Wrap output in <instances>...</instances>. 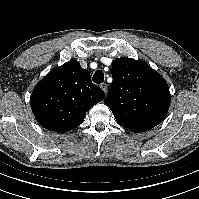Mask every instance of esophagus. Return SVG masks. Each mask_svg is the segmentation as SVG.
Masks as SVG:
<instances>
[{
    "label": "esophagus",
    "instance_id": "obj_1",
    "mask_svg": "<svg viewBox=\"0 0 199 199\" xmlns=\"http://www.w3.org/2000/svg\"><path fill=\"white\" fill-rule=\"evenodd\" d=\"M100 87H101V89H102L105 93L107 92L108 86H107L106 83H102V84L100 85Z\"/></svg>",
    "mask_w": 199,
    "mask_h": 199
}]
</instances>
